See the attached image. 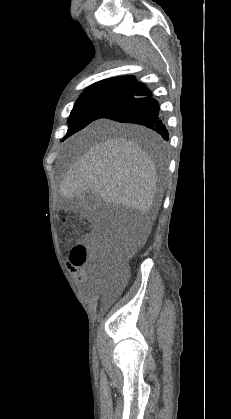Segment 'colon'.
<instances>
[{
  "instance_id": "5ec220e1",
  "label": "colon",
  "mask_w": 231,
  "mask_h": 419,
  "mask_svg": "<svg viewBox=\"0 0 231 419\" xmlns=\"http://www.w3.org/2000/svg\"><path fill=\"white\" fill-rule=\"evenodd\" d=\"M100 257L97 248L87 247L85 245H76L70 253V263L74 266H80L86 261L95 262ZM127 271L126 257L119 253L108 254L106 268L102 271V278L107 282H118Z\"/></svg>"
}]
</instances>
